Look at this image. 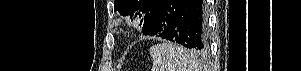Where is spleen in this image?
<instances>
[{"label": "spleen", "instance_id": "spleen-1", "mask_svg": "<svg viewBox=\"0 0 301 71\" xmlns=\"http://www.w3.org/2000/svg\"><path fill=\"white\" fill-rule=\"evenodd\" d=\"M149 53L153 61L151 71H202L194 54L176 44H156Z\"/></svg>", "mask_w": 301, "mask_h": 71}]
</instances>
